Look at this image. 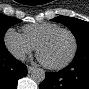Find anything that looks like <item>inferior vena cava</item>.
Returning <instances> with one entry per match:
<instances>
[{
    "instance_id": "obj_1",
    "label": "inferior vena cava",
    "mask_w": 89,
    "mask_h": 89,
    "mask_svg": "<svg viewBox=\"0 0 89 89\" xmlns=\"http://www.w3.org/2000/svg\"><path fill=\"white\" fill-rule=\"evenodd\" d=\"M19 59H20L21 61H25V56H24V55H20V56H19Z\"/></svg>"
}]
</instances>
